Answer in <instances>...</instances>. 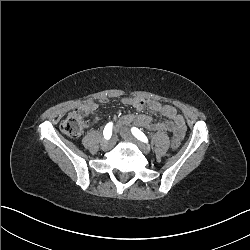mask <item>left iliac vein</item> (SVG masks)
Masks as SVG:
<instances>
[{
  "label": "left iliac vein",
  "mask_w": 250,
  "mask_h": 250,
  "mask_svg": "<svg viewBox=\"0 0 250 250\" xmlns=\"http://www.w3.org/2000/svg\"><path fill=\"white\" fill-rule=\"evenodd\" d=\"M120 135L126 139L127 141L133 142L136 145H138V147L142 150L143 153L148 154L149 153V148L146 147L144 144L138 142L130 133V131L127 128H122L120 131Z\"/></svg>",
  "instance_id": "4c4485c4"
}]
</instances>
